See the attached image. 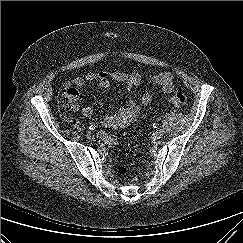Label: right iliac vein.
<instances>
[{
	"label": "right iliac vein",
	"instance_id": "right-iliac-vein-1",
	"mask_svg": "<svg viewBox=\"0 0 243 243\" xmlns=\"http://www.w3.org/2000/svg\"><path fill=\"white\" fill-rule=\"evenodd\" d=\"M86 137H87V139L90 140V141H93V140L95 139L94 134L91 133V132H87V133H86Z\"/></svg>",
	"mask_w": 243,
	"mask_h": 243
}]
</instances>
